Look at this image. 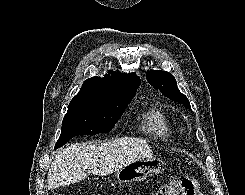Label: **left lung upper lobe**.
<instances>
[{
	"instance_id": "obj_1",
	"label": "left lung upper lobe",
	"mask_w": 245,
	"mask_h": 195,
	"mask_svg": "<svg viewBox=\"0 0 245 195\" xmlns=\"http://www.w3.org/2000/svg\"><path fill=\"white\" fill-rule=\"evenodd\" d=\"M148 82L159 89L169 99L182 103L185 107L191 108L188 98L180 93L174 76L165 71H148L146 73Z\"/></svg>"
}]
</instances>
